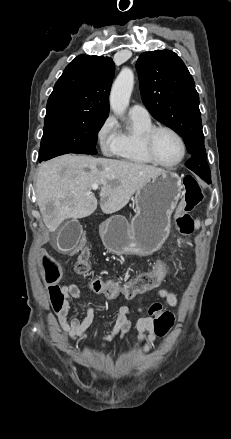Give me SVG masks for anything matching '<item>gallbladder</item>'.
I'll return each mask as SVG.
<instances>
[{"mask_svg": "<svg viewBox=\"0 0 231 439\" xmlns=\"http://www.w3.org/2000/svg\"><path fill=\"white\" fill-rule=\"evenodd\" d=\"M82 234V226L78 220H71L57 232L56 247L61 252L74 249Z\"/></svg>", "mask_w": 231, "mask_h": 439, "instance_id": "bac80fb5", "label": "gallbladder"}]
</instances>
